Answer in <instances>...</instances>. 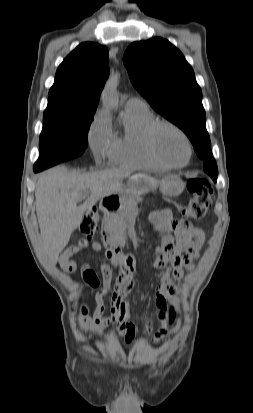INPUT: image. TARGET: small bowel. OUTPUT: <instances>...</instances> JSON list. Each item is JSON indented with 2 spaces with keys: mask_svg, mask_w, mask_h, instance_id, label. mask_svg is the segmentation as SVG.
<instances>
[{
  "mask_svg": "<svg viewBox=\"0 0 253 413\" xmlns=\"http://www.w3.org/2000/svg\"><path fill=\"white\" fill-rule=\"evenodd\" d=\"M149 219L160 233L161 245L157 252L153 266L163 270L160 284L156 289V305L160 310L166 306V297L174 295L176 288L173 280L181 281L185 271H191L194 267L193 259L199 254L205 240V233L199 227L192 226L188 221L173 217L171 210H156L150 213ZM95 252L103 250L99 242L91 244L81 240L77 245L71 246L60 256V265L63 271L72 273L77 269L74 256L88 248ZM109 263L100 266L102 274V290L97 294V306L92 318H79L81 331L91 337H101L111 325H116L118 332L127 343H132L136 336L135 325L130 321V306L126 296L135 286L134 260L131 256H114L109 250L105 251ZM112 266L119 268V276L114 285L111 296L112 313L103 317V295L111 288ZM83 279L90 286H97L99 280L97 274L89 263L81 266ZM145 334L150 333L149 324L144 329Z\"/></svg>",
  "mask_w": 253,
  "mask_h": 413,
  "instance_id": "1",
  "label": "small bowel"
}]
</instances>
